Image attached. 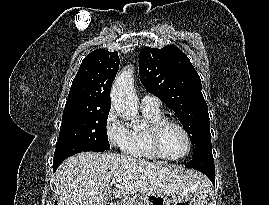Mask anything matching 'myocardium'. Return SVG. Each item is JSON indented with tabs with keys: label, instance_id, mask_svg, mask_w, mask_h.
Returning a JSON list of instances; mask_svg holds the SVG:
<instances>
[{
	"label": "myocardium",
	"instance_id": "obj_1",
	"mask_svg": "<svg viewBox=\"0 0 269 205\" xmlns=\"http://www.w3.org/2000/svg\"><path fill=\"white\" fill-rule=\"evenodd\" d=\"M171 125L179 128L184 133L187 140V150L183 155L179 157H171L167 155L162 148V144H161L162 133L168 126H171ZM147 138H148V143L151 149L153 150V152L155 153V155L167 161L182 160L191 153L192 148H193L192 138L188 129L179 121L171 119V118L163 117L160 120L151 124L147 129Z\"/></svg>",
	"mask_w": 269,
	"mask_h": 205
}]
</instances>
